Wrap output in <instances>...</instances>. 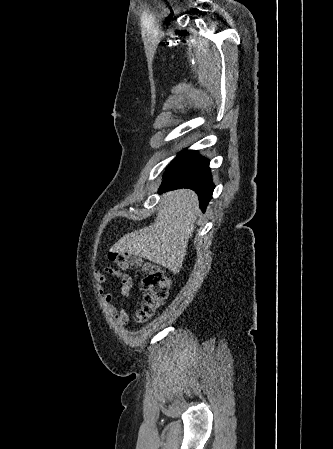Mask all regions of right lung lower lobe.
Segmentation results:
<instances>
[{
	"mask_svg": "<svg viewBox=\"0 0 333 449\" xmlns=\"http://www.w3.org/2000/svg\"><path fill=\"white\" fill-rule=\"evenodd\" d=\"M212 183L209 160L197 151L184 150L168 166L159 191L190 188L197 192L200 208L204 211L212 198Z\"/></svg>",
	"mask_w": 333,
	"mask_h": 449,
	"instance_id": "98d812e1",
	"label": "right lung lower lobe"
}]
</instances>
